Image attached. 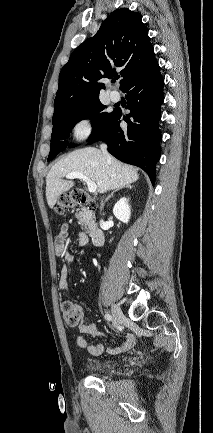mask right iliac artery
<instances>
[{"label":"right iliac artery","mask_w":213,"mask_h":433,"mask_svg":"<svg viewBox=\"0 0 213 433\" xmlns=\"http://www.w3.org/2000/svg\"><path fill=\"white\" fill-rule=\"evenodd\" d=\"M105 319L110 322V321H112V316L110 314L106 313Z\"/></svg>","instance_id":"right-iliac-artery-1"}]
</instances>
